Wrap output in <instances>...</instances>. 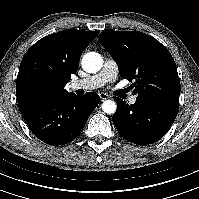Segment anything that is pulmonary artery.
<instances>
[{
    "instance_id": "1",
    "label": "pulmonary artery",
    "mask_w": 199,
    "mask_h": 199,
    "mask_svg": "<svg viewBox=\"0 0 199 199\" xmlns=\"http://www.w3.org/2000/svg\"><path fill=\"white\" fill-rule=\"evenodd\" d=\"M118 76V67L116 63L110 59L106 58L102 69L87 78L75 80L71 82L70 88L72 90H94L104 86L106 83L113 82ZM137 98L135 95L129 97V103H136Z\"/></svg>"
}]
</instances>
